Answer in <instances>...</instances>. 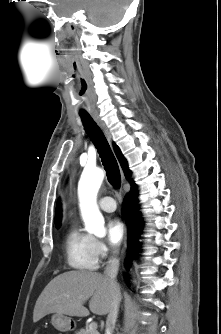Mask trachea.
<instances>
[{"label": "trachea", "mask_w": 221, "mask_h": 334, "mask_svg": "<svg viewBox=\"0 0 221 334\" xmlns=\"http://www.w3.org/2000/svg\"><path fill=\"white\" fill-rule=\"evenodd\" d=\"M81 119L87 135L100 154L109 183L118 189L121 185L119 166L103 132L90 115H81Z\"/></svg>", "instance_id": "3493384b"}]
</instances>
